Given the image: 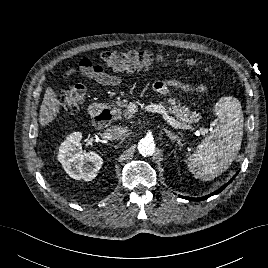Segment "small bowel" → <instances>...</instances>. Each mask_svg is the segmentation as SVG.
I'll return each mask as SVG.
<instances>
[{"label":"small bowel","instance_id":"c3829d8e","mask_svg":"<svg viewBox=\"0 0 268 268\" xmlns=\"http://www.w3.org/2000/svg\"><path fill=\"white\" fill-rule=\"evenodd\" d=\"M81 63H86L85 68L81 67ZM80 71L91 82L98 83L105 86L116 87L122 84V77L111 72H107L101 65L92 62L91 60L84 58L80 62ZM178 87L184 90L192 91L199 94L206 92V86L181 84L174 80L158 81L155 83L154 88L161 94L169 95L171 88Z\"/></svg>","mask_w":268,"mask_h":268}]
</instances>
